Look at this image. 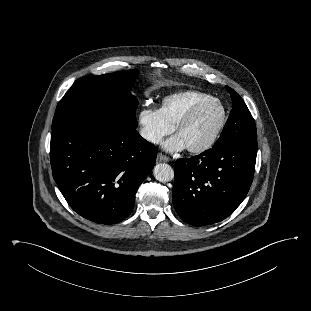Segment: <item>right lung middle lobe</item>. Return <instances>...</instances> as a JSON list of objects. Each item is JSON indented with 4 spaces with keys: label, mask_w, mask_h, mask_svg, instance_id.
I'll list each match as a JSON object with an SVG mask.
<instances>
[{
    "label": "right lung middle lobe",
    "mask_w": 311,
    "mask_h": 311,
    "mask_svg": "<svg viewBox=\"0 0 311 311\" xmlns=\"http://www.w3.org/2000/svg\"><path fill=\"white\" fill-rule=\"evenodd\" d=\"M136 75L121 71L81 77L60 100L52 131L85 124L136 128L138 101L129 91Z\"/></svg>",
    "instance_id": "dd1d6c3e"
}]
</instances>
